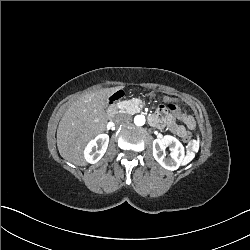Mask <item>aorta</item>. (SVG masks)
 <instances>
[{"label": "aorta", "instance_id": "1", "mask_svg": "<svg viewBox=\"0 0 250 250\" xmlns=\"http://www.w3.org/2000/svg\"><path fill=\"white\" fill-rule=\"evenodd\" d=\"M134 124L136 126H143L145 124V116L144 115H136L134 117Z\"/></svg>", "mask_w": 250, "mask_h": 250}]
</instances>
